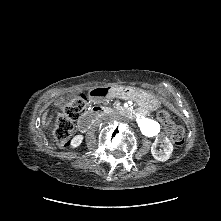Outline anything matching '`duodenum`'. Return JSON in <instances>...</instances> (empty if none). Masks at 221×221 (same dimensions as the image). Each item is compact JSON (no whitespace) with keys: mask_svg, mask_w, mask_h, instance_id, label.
<instances>
[{"mask_svg":"<svg viewBox=\"0 0 221 221\" xmlns=\"http://www.w3.org/2000/svg\"><path fill=\"white\" fill-rule=\"evenodd\" d=\"M126 90L124 88H110L108 86L92 87L88 91V98L92 102H103L111 99L112 95H124ZM115 113L116 115H127L130 119L134 118L133 112H128L127 108L93 106L89 108L86 113L79 119L78 127L82 132L90 129L93 121L98 115Z\"/></svg>","mask_w":221,"mask_h":221,"instance_id":"1","label":"duodenum"}]
</instances>
